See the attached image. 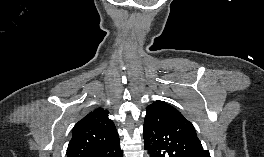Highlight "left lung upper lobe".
Listing matches in <instances>:
<instances>
[{
  "label": "left lung upper lobe",
  "mask_w": 264,
  "mask_h": 157,
  "mask_svg": "<svg viewBox=\"0 0 264 157\" xmlns=\"http://www.w3.org/2000/svg\"><path fill=\"white\" fill-rule=\"evenodd\" d=\"M143 138L157 157H210L202 148L194 126L177 109L165 102L147 106Z\"/></svg>",
  "instance_id": "1"
}]
</instances>
